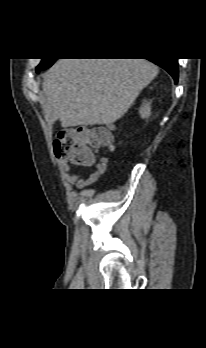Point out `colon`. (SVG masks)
I'll return each instance as SVG.
<instances>
[{
	"label": "colon",
	"instance_id": "5ec220e1",
	"mask_svg": "<svg viewBox=\"0 0 206 348\" xmlns=\"http://www.w3.org/2000/svg\"><path fill=\"white\" fill-rule=\"evenodd\" d=\"M53 147L56 157L76 165L94 163V149H114L110 129L103 126H84L60 132ZM107 160L105 157L103 161Z\"/></svg>",
	"mask_w": 206,
	"mask_h": 348
}]
</instances>
